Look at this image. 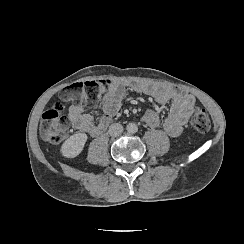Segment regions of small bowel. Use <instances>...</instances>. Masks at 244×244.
<instances>
[{"instance_id": "1", "label": "small bowel", "mask_w": 244, "mask_h": 244, "mask_svg": "<svg viewBox=\"0 0 244 244\" xmlns=\"http://www.w3.org/2000/svg\"><path fill=\"white\" fill-rule=\"evenodd\" d=\"M129 90L153 99L157 105L169 104L168 114L163 121L159 112L152 108L144 112L142 120L153 128L162 125L166 134L173 138L182 134L183 127L195 111L196 99L186 90L143 80H114L101 96L100 108L103 114L98 121L94 120L83 104L76 103L70 106L69 118L73 127L89 136L102 134ZM102 93L103 91L100 94Z\"/></svg>"}]
</instances>
